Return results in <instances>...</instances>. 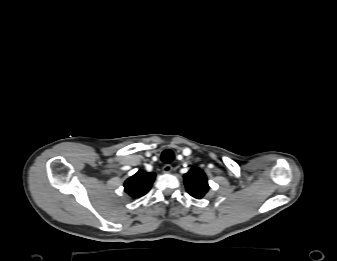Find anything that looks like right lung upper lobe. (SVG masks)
I'll use <instances>...</instances> for the list:
<instances>
[{"instance_id":"obj_1","label":"right lung upper lobe","mask_w":337,"mask_h":261,"mask_svg":"<svg viewBox=\"0 0 337 261\" xmlns=\"http://www.w3.org/2000/svg\"><path fill=\"white\" fill-rule=\"evenodd\" d=\"M154 180V173H147L143 170H139L125 181V192L133 198H139L150 190Z\"/></svg>"}]
</instances>
